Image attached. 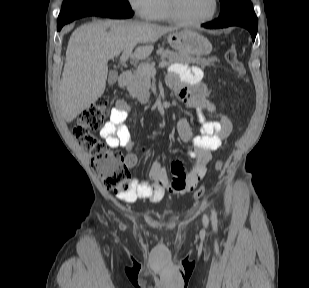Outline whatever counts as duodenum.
Segmentation results:
<instances>
[{"label":"duodenum","mask_w":309,"mask_h":288,"mask_svg":"<svg viewBox=\"0 0 309 288\" xmlns=\"http://www.w3.org/2000/svg\"><path fill=\"white\" fill-rule=\"evenodd\" d=\"M132 79V73L130 71H123L118 78V85L121 89H124Z\"/></svg>","instance_id":"duodenum-1"}]
</instances>
